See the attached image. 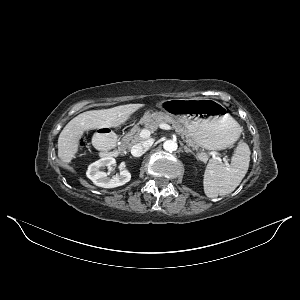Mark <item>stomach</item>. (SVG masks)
I'll return each mask as SVG.
<instances>
[{
    "label": "stomach",
    "instance_id": "stomach-1",
    "mask_svg": "<svg viewBox=\"0 0 300 300\" xmlns=\"http://www.w3.org/2000/svg\"><path fill=\"white\" fill-rule=\"evenodd\" d=\"M160 108L177 116L191 138L201 147L223 150L239 137L238 123L221 103L211 99H173L159 104ZM162 112H147L154 117Z\"/></svg>",
    "mask_w": 300,
    "mask_h": 300
}]
</instances>
